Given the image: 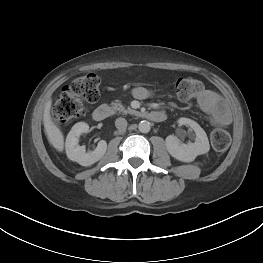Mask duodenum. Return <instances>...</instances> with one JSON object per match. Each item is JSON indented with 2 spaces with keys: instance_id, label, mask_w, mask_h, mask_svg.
I'll list each match as a JSON object with an SVG mask.
<instances>
[{
  "instance_id": "duodenum-1",
  "label": "duodenum",
  "mask_w": 263,
  "mask_h": 263,
  "mask_svg": "<svg viewBox=\"0 0 263 263\" xmlns=\"http://www.w3.org/2000/svg\"><path fill=\"white\" fill-rule=\"evenodd\" d=\"M109 113V107L106 105H101L93 111L92 117L95 121L100 122L105 120ZM146 118L154 122H162L166 119V114L162 111H151L146 114Z\"/></svg>"
}]
</instances>
